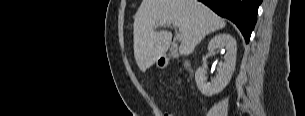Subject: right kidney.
I'll return each mask as SVG.
<instances>
[{
  "label": "right kidney",
  "instance_id": "obj_1",
  "mask_svg": "<svg viewBox=\"0 0 305 116\" xmlns=\"http://www.w3.org/2000/svg\"><path fill=\"white\" fill-rule=\"evenodd\" d=\"M217 49L225 51L224 62L219 63L218 74L211 83H207L206 70L203 67H199L195 73L197 87L205 96L221 92L229 84L235 70L237 53L235 38L226 33L215 35L208 44V51L214 54Z\"/></svg>",
  "mask_w": 305,
  "mask_h": 116
}]
</instances>
